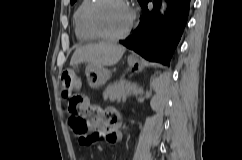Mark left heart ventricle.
Listing matches in <instances>:
<instances>
[{"label": "left heart ventricle", "mask_w": 242, "mask_h": 160, "mask_svg": "<svg viewBox=\"0 0 242 160\" xmlns=\"http://www.w3.org/2000/svg\"><path fill=\"white\" fill-rule=\"evenodd\" d=\"M130 16V9L122 0H103L93 12V21L101 32L117 35L126 29Z\"/></svg>", "instance_id": "left-heart-ventricle-1"}]
</instances>
